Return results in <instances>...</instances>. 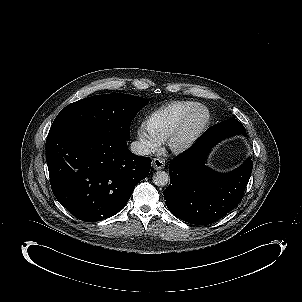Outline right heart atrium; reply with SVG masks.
<instances>
[{"label":"right heart atrium","instance_id":"right-heart-atrium-1","mask_svg":"<svg viewBox=\"0 0 302 302\" xmlns=\"http://www.w3.org/2000/svg\"><path fill=\"white\" fill-rule=\"evenodd\" d=\"M136 136L138 147L145 154L157 151L162 145V140L151 133L143 124L138 126Z\"/></svg>","mask_w":302,"mask_h":302}]
</instances>
